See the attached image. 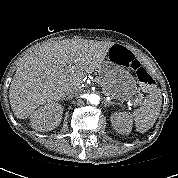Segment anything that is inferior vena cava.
<instances>
[{"instance_id": "obj_1", "label": "inferior vena cava", "mask_w": 178, "mask_h": 178, "mask_svg": "<svg viewBox=\"0 0 178 178\" xmlns=\"http://www.w3.org/2000/svg\"><path fill=\"white\" fill-rule=\"evenodd\" d=\"M81 93V89H73L70 93L67 94V98H72Z\"/></svg>"}]
</instances>
